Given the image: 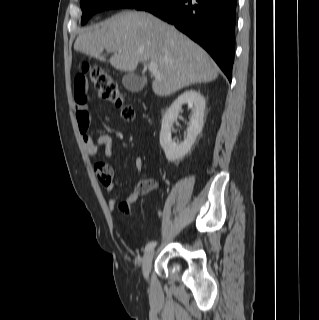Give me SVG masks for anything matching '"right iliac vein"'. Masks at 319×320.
Returning a JSON list of instances; mask_svg holds the SVG:
<instances>
[{
    "label": "right iliac vein",
    "instance_id": "1",
    "mask_svg": "<svg viewBox=\"0 0 319 320\" xmlns=\"http://www.w3.org/2000/svg\"><path fill=\"white\" fill-rule=\"evenodd\" d=\"M153 256H154V251L150 250V251H146L142 258V271L146 279L148 278V275L151 269Z\"/></svg>",
    "mask_w": 319,
    "mask_h": 320
}]
</instances>
